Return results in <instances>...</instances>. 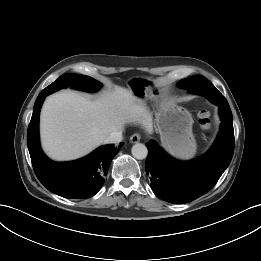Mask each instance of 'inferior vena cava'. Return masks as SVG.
I'll return each instance as SVG.
<instances>
[{"instance_id":"obj_1","label":"inferior vena cava","mask_w":261,"mask_h":261,"mask_svg":"<svg viewBox=\"0 0 261 261\" xmlns=\"http://www.w3.org/2000/svg\"><path fill=\"white\" fill-rule=\"evenodd\" d=\"M122 140V130L112 132L105 140V144L118 143Z\"/></svg>"}]
</instances>
